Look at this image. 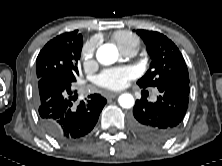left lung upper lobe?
I'll list each match as a JSON object with an SVG mask.
<instances>
[{
  "instance_id": "obj_1",
  "label": "left lung upper lobe",
  "mask_w": 222,
  "mask_h": 166,
  "mask_svg": "<svg viewBox=\"0 0 222 166\" xmlns=\"http://www.w3.org/2000/svg\"><path fill=\"white\" fill-rule=\"evenodd\" d=\"M151 57L150 69L138 80L141 88L157 87L165 81L189 83L188 69L177 46L161 33L137 30Z\"/></svg>"
}]
</instances>
